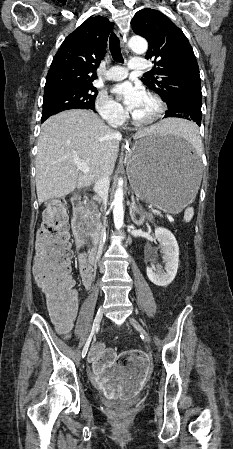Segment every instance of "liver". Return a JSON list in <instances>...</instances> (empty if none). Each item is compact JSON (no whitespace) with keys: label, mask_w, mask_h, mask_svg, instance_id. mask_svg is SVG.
Wrapping results in <instances>:
<instances>
[{"label":"liver","mask_w":233,"mask_h":449,"mask_svg":"<svg viewBox=\"0 0 233 449\" xmlns=\"http://www.w3.org/2000/svg\"><path fill=\"white\" fill-rule=\"evenodd\" d=\"M181 123L179 119H164L138 131L133 138L174 133ZM121 139L93 111L73 109L48 118L38 139L35 177L38 202L66 196L76 188L90 186L103 175L110 176ZM77 159L88 165V174L79 172Z\"/></svg>","instance_id":"1"}]
</instances>
